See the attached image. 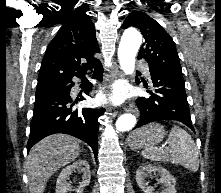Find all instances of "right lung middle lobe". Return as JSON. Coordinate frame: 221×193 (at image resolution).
<instances>
[{"label":"right lung middle lobe","instance_id":"right-lung-middle-lobe-1","mask_svg":"<svg viewBox=\"0 0 221 193\" xmlns=\"http://www.w3.org/2000/svg\"><path fill=\"white\" fill-rule=\"evenodd\" d=\"M46 87H43V88H37L36 92L40 91V90H43L45 89Z\"/></svg>","mask_w":221,"mask_h":193}]
</instances>
